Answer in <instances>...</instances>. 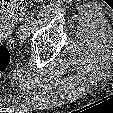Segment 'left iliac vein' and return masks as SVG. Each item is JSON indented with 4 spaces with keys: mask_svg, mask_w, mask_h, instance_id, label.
Wrapping results in <instances>:
<instances>
[{
    "mask_svg": "<svg viewBox=\"0 0 113 113\" xmlns=\"http://www.w3.org/2000/svg\"><path fill=\"white\" fill-rule=\"evenodd\" d=\"M28 35H29V26L25 24L21 26L19 30V38L20 40H26Z\"/></svg>",
    "mask_w": 113,
    "mask_h": 113,
    "instance_id": "4c4485c4",
    "label": "left iliac vein"
}]
</instances>
